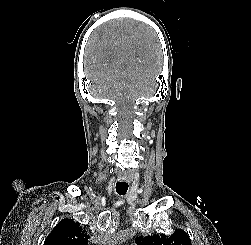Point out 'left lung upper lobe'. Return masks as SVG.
Instances as JSON below:
<instances>
[{"label":"left lung upper lobe","instance_id":"left-lung-upper-lobe-1","mask_svg":"<svg viewBox=\"0 0 251 245\" xmlns=\"http://www.w3.org/2000/svg\"><path fill=\"white\" fill-rule=\"evenodd\" d=\"M137 245H192L189 236L181 229H176L173 235L165 234L137 237Z\"/></svg>","mask_w":251,"mask_h":245}]
</instances>
